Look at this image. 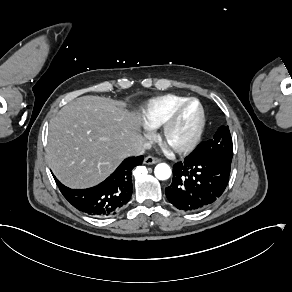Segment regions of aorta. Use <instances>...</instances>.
<instances>
[{
  "label": "aorta",
  "instance_id": "aorta-1",
  "mask_svg": "<svg viewBox=\"0 0 292 292\" xmlns=\"http://www.w3.org/2000/svg\"><path fill=\"white\" fill-rule=\"evenodd\" d=\"M155 176L159 180H166L171 176V169L166 163H160L155 167Z\"/></svg>",
  "mask_w": 292,
  "mask_h": 292
}]
</instances>
